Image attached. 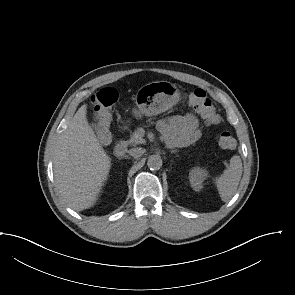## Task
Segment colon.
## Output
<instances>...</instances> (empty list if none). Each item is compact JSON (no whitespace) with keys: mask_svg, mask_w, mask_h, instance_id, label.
<instances>
[{"mask_svg":"<svg viewBox=\"0 0 295 295\" xmlns=\"http://www.w3.org/2000/svg\"><path fill=\"white\" fill-rule=\"evenodd\" d=\"M190 105L210 125L220 122V116L212 102L203 89H195L186 94ZM118 93L114 88H103L92 97V105L95 112V127L98 137L102 143L107 142V124L110 119L111 107L115 104ZM218 143L222 149L232 150L236 147V141L232 134L223 131L219 135Z\"/></svg>","mask_w":295,"mask_h":295,"instance_id":"5ec220e1","label":"colon"}]
</instances>
